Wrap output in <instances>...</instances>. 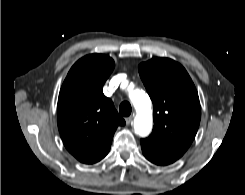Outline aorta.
<instances>
[{"instance_id":"1","label":"aorta","mask_w":245,"mask_h":195,"mask_svg":"<svg viewBox=\"0 0 245 195\" xmlns=\"http://www.w3.org/2000/svg\"><path fill=\"white\" fill-rule=\"evenodd\" d=\"M130 100L137 112L134 119L135 133L141 137L148 136L153 124L151 101L148 95L139 89L130 93Z\"/></svg>"}]
</instances>
